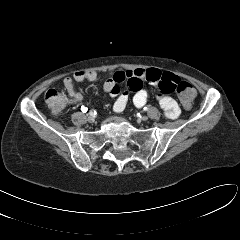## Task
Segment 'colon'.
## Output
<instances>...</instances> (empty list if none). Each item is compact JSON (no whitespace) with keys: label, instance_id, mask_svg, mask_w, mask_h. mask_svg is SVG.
<instances>
[{"label":"colon","instance_id":"5ec220e1","mask_svg":"<svg viewBox=\"0 0 240 240\" xmlns=\"http://www.w3.org/2000/svg\"><path fill=\"white\" fill-rule=\"evenodd\" d=\"M184 107L189 108L194 102L196 91L193 86L186 81H179L175 87ZM67 96L63 91L48 90L45 94V102L52 114H59L65 108L67 103Z\"/></svg>","mask_w":240,"mask_h":240}]
</instances>
